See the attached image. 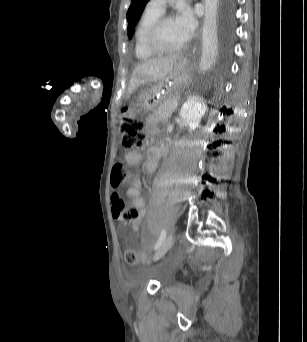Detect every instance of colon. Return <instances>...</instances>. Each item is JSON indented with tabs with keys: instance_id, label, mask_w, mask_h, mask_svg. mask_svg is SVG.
<instances>
[{
	"instance_id": "5ec220e1",
	"label": "colon",
	"mask_w": 307,
	"mask_h": 342,
	"mask_svg": "<svg viewBox=\"0 0 307 342\" xmlns=\"http://www.w3.org/2000/svg\"><path fill=\"white\" fill-rule=\"evenodd\" d=\"M119 132L121 134V146L124 150L139 151L143 148L146 140L144 124L131 113L129 108H123L120 112ZM120 156H123V153H120ZM117 161L113 164L110 174V186L113 190L111 197L112 213L121 225H129L136 217V209L127 206L124 199L116 193L117 189L121 188L129 178L126 162L122 161L121 157H118ZM142 255L141 250L135 252V250L128 248L125 253V261L130 265L137 263L142 266L147 261V258ZM149 259H152V256H149Z\"/></svg>"
}]
</instances>
